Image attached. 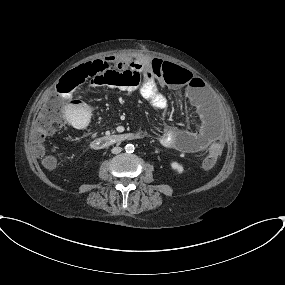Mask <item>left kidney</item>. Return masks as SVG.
I'll return each instance as SVG.
<instances>
[{
    "instance_id": "left-kidney-1",
    "label": "left kidney",
    "mask_w": 285,
    "mask_h": 285,
    "mask_svg": "<svg viewBox=\"0 0 285 285\" xmlns=\"http://www.w3.org/2000/svg\"><path fill=\"white\" fill-rule=\"evenodd\" d=\"M170 166H171L172 170L176 171L178 174H182L184 172L183 166L180 165L179 163L175 162V161L171 162Z\"/></svg>"
}]
</instances>
